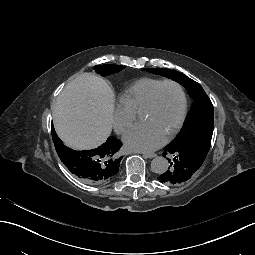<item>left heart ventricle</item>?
Listing matches in <instances>:
<instances>
[{"instance_id": "obj_1", "label": "left heart ventricle", "mask_w": 255, "mask_h": 255, "mask_svg": "<svg viewBox=\"0 0 255 255\" xmlns=\"http://www.w3.org/2000/svg\"><path fill=\"white\" fill-rule=\"evenodd\" d=\"M180 110V92L174 85L167 84L159 89L152 108L142 111L140 118L166 138L174 129Z\"/></svg>"}]
</instances>
